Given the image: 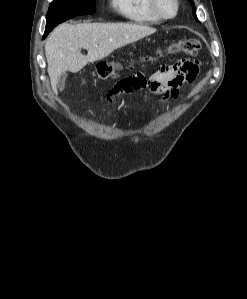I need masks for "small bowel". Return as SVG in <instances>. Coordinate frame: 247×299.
I'll return each instance as SVG.
<instances>
[{"label":"small bowel","mask_w":247,"mask_h":299,"mask_svg":"<svg viewBox=\"0 0 247 299\" xmlns=\"http://www.w3.org/2000/svg\"><path fill=\"white\" fill-rule=\"evenodd\" d=\"M199 72V62L183 59L174 64L159 66L149 77L137 73L120 80L110 92L109 97L130 93L137 89H146L159 96L161 105L170 98H177L179 88L185 83H192Z\"/></svg>","instance_id":"c3829d8e"}]
</instances>
